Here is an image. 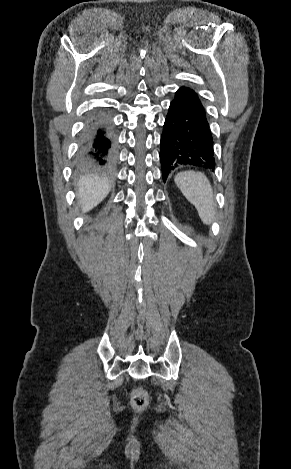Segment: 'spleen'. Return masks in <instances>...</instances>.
<instances>
[{
  "label": "spleen",
  "instance_id": "3e777b00",
  "mask_svg": "<svg viewBox=\"0 0 291 469\" xmlns=\"http://www.w3.org/2000/svg\"><path fill=\"white\" fill-rule=\"evenodd\" d=\"M174 181L186 199L195 206L204 224L210 225L216 214L214 194L207 177L201 172L178 173Z\"/></svg>",
  "mask_w": 291,
  "mask_h": 469
}]
</instances>
